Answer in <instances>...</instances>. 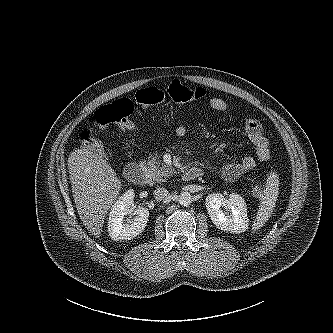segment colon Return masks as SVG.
<instances>
[{
    "mask_svg": "<svg viewBox=\"0 0 333 333\" xmlns=\"http://www.w3.org/2000/svg\"><path fill=\"white\" fill-rule=\"evenodd\" d=\"M205 91L202 88L187 87L179 81H173L167 92L158 88L149 87L139 90L136 93V102L143 106H156L169 100L174 104H185L202 99ZM134 111V103L130 99H119L111 104L100 107L91 117V126L81 133L82 142L93 150L100 149V141L97 138V130H105L115 127L122 131L131 130L134 123L131 115ZM265 191L264 186L256 185L252 187V192L262 194Z\"/></svg>",
    "mask_w": 333,
    "mask_h": 333,
    "instance_id": "colon-1",
    "label": "colon"
}]
</instances>
